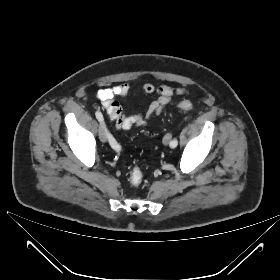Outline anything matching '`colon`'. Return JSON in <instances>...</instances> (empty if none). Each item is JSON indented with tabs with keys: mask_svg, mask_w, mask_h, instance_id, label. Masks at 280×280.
<instances>
[{
	"mask_svg": "<svg viewBox=\"0 0 280 280\" xmlns=\"http://www.w3.org/2000/svg\"><path fill=\"white\" fill-rule=\"evenodd\" d=\"M179 107L183 110H191L193 104L188 100H183L179 103ZM143 181V173L139 168H134L131 172L130 182L133 186H139Z\"/></svg>",
	"mask_w": 280,
	"mask_h": 280,
	"instance_id": "obj_1",
	"label": "colon"
}]
</instances>
